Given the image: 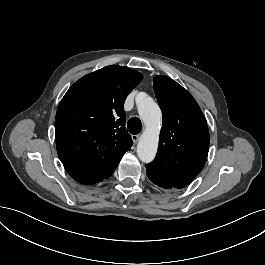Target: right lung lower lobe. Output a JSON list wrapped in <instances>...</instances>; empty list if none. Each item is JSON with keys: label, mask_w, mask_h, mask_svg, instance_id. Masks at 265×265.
I'll use <instances>...</instances> for the list:
<instances>
[{"label": "right lung lower lobe", "mask_w": 265, "mask_h": 265, "mask_svg": "<svg viewBox=\"0 0 265 265\" xmlns=\"http://www.w3.org/2000/svg\"><path fill=\"white\" fill-rule=\"evenodd\" d=\"M122 156L111 162L80 163L62 161V164L68 174L77 182L84 185H92L110 177L118 166Z\"/></svg>", "instance_id": "1"}]
</instances>
